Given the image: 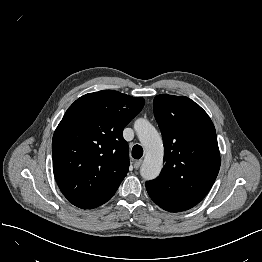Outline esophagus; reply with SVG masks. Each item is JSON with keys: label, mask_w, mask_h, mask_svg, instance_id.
<instances>
[{"label": "esophagus", "mask_w": 262, "mask_h": 262, "mask_svg": "<svg viewBox=\"0 0 262 262\" xmlns=\"http://www.w3.org/2000/svg\"><path fill=\"white\" fill-rule=\"evenodd\" d=\"M142 163H143V160H136V161L134 162V167H135V169H139L140 166L142 165Z\"/></svg>", "instance_id": "34e87169"}]
</instances>
